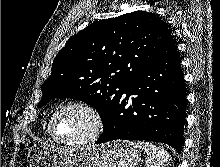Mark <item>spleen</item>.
Listing matches in <instances>:
<instances>
[{
    "instance_id": "spleen-1",
    "label": "spleen",
    "mask_w": 220,
    "mask_h": 167,
    "mask_svg": "<svg viewBox=\"0 0 220 167\" xmlns=\"http://www.w3.org/2000/svg\"><path fill=\"white\" fill-rule=\"evenodd\" d=\"M137 145L147 154L145 167H165L164 165L170 156L163 148L143 141H138Z\"/></svg>"
}]
</instances>
